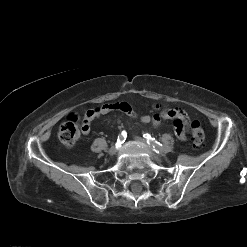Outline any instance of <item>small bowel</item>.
Here are the masks:
<instances>
[{
	"label": "small bowel",
	"instance_id": "obj_1",
	"mask_svg": "<svg viewBox=\"0 0 247 247\" xmlns=\"http://www.w3.org/2000/svg\"><path fill=\"white\" fill-rule=\"evenodd\" d=\"M114 111H120L127 114L130 117H135L136 113L133 107L126 102H117L112 104H105L95 109L88 110L83 118L82 123V130L84 134H88L90 131V126L93 121L98 119L99 117L109 114ZM161 118L164 119H171L175 121V134L176 136L181 139L185 140L187 137L186 126L188 124V115L179 108L169 109L164 111L160 115ZM142 123H150L153 122L154 124H158L160 118L155 116L151 117L149 115H142L140 117Z\"/></svg>",
	"mask_w": 247,
	"mask_h": 247
}]
</instances>
